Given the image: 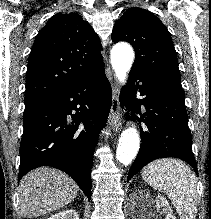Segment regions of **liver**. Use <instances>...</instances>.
<instances>
[{
    "mask_svg": "<svg viewBox=\"0 0 211 219\" xmlns=\"http://www.w3.org/2000/svg\"><path fill=\"white\" fill-rule=\"evenodd\" d=\"M79 187L64 172L40 167L20 182L19 206L26 218L37 217L63 208L77 196Z\"/></svg>",
    "mask_w": 211,
    "mask_h": 219,
    "instance_id": "obj_1",
    "label": "liver"
}]
</instances>
